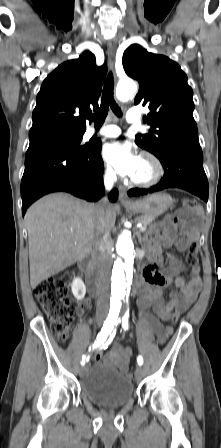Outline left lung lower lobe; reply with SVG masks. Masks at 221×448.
<instances>
[{
  "label": "left lung lower lobe",
  "instance_id": "0a47b994",
  "mask_svg": "<svg viewBox=\"0 0 221 448\" xmlns=\"http://www.w3.org/2000/svg\"><path fill=\"white\" fill-rule=\"evenodd\" d=\"M159 159L165 171L161 181L149 189L129 190L130 197L177 187L187 190L207 202L208 181L203 169L201 148H175Z\"/></svg>",
  "mask_w": 221,
  "mask_h": 448
}]
</instances>
